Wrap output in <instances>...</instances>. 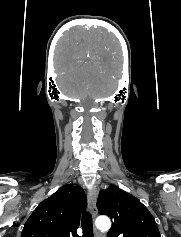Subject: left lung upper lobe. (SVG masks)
<instances>
[{
	"label": "left lung upper lobe",
	"instance_id": "1",
	"mask_svg": "<svg viewBox=\"0 0 181 237\" xmlns=\"http://www.w3.org/2000/svg\"><path fill=\"white\" fill-rule=\"evenodd\" d=\"M97 207L99 214L114 221L107 237H161L149 210L116 185L99 193Z\"/></svg>",
	"mask_w": 181,
	"mask_h": 237
}]
</instances>
